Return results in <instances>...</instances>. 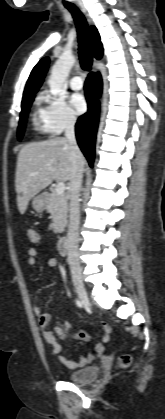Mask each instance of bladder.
Returning a JSON list of instances; mask_svg holds the SVG:
<instances>
[{
	"label": "bladder",
	"mask_w": 165,
	"mask_h": 419,
	"mask_svg": "<svg viewBox=\"0 0 165 419\" xmlns=\"http://www.w3.org/2000/svg\"><path fill=\"white\" fill-rule=\"evenodd\" d=\"M98 366H87L67 373V379L73 383H85L95 380L99 376Z\"/></svg>",
	"instance_id": "bladder-1"
}]
</instances>
